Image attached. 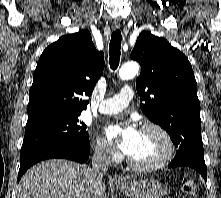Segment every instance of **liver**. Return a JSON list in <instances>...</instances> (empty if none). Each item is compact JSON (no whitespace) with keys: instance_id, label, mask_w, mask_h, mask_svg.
I'll return each mask as SVG.
<instances>
[{"instance_id":"1","label":"liver","mask_w":221,"mask_h":198,"mask_svg":"<svg viewBox=\"0 0 221 198\" xmlns=\"http://www.w3.org/2000/svg\"><path fill=\"white\" fill-rule=\"evenodd\" d=\"M106 185L90 168L53 159L38 163L21 178L17 198H104Z\"/></svg>"}]
</instances>
